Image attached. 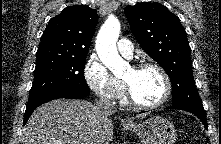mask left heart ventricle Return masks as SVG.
Wrapping results in <instances>:
<instances>
[{
  "mask_svg": "<svg viewBox=\"0 0 221 144\" xmlns=\"http://www.w3.org/2000/svg\"><path fill=\"white\" fill-rule=\"evenodd\" d=\"M124 80L129 83L135 98L141 103L152 104L163 96L164 82L160 73L154 68L140 71L130 68Z\"/></svg>",
  "mask_w": 221,
  "mask_h": 144,
  "instance_id": "obj_1",
  "label": "left heart ventricle"
}]
</instances>
